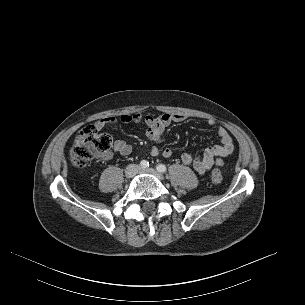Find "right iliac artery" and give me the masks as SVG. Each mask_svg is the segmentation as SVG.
<instances>
[{
  "label": "right iliac artery",
  "mask_w": 305,
  "mask_h": 305,
  "mask_svg": "<svg viewBox=\"0 0 305 305\" xmlns=\"http://www.w3.org/2000/svg\"><path fill=\"white\" fill-rule=\"evenodd\" d=\"M140 166H141L142 168H147V167H149V162L146 161V160H142V161L140 162Z\"/></svg>",
  "instance_id": "obj_1"
}]
</instances>
